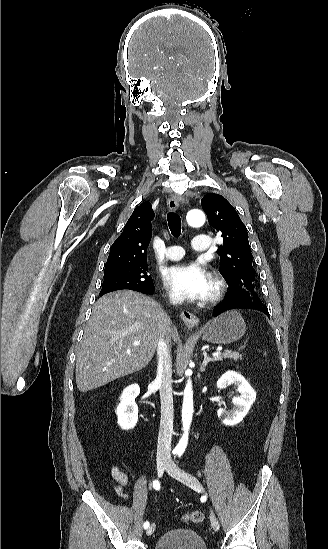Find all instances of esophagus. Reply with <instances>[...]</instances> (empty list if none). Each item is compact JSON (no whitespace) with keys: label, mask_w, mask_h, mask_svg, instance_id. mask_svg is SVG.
Segmentation results:
<instances>
[{"label":"esophagus","mask_w":328,"mask_h":549,"mask_svg":"<svg viewBox=\"0 0 328 549\" xmlns=\"http://www.w3.org/2000/svg\"><path fill=\"white\" fill-rule=\"evenodd\" d=\"M167 207L170 212H174L175 210H177V208L179 207V200L175 195H171L167 199ZM180 317L189 329H192L194 326L198 325V317H196V315L194 314H191V312L187 310L181 312Z\"/></svg>","instance_id":"esophagus-1"}]
</instances>
